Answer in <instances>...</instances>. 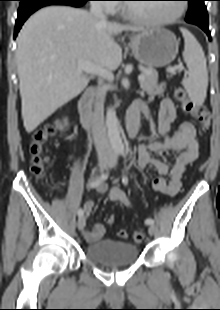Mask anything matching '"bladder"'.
Listing matches in <instances>:
<instances>
[{
	"instance_id": "bladder-1",
	"label": "bladder",
	"mask_w": 220,
	"mask_h": 310,
	"mask_svg": "<svg viewBox=\"0 0 220 310\" xmlns=\"http://www.w3.org/2000/svg\"><path fill=\"white\" fill-rule=\"evenodd\" d=\"M85 254L88 259L100 265L124 266L138 259L139 248L127 242L101 239L87 245Z\"/></svg>"
}]
</instances>
